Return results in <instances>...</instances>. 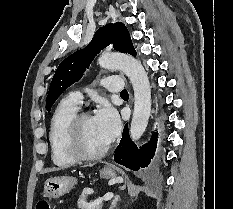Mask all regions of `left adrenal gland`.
Returning <instances> with one entry per match:
<instances>
[{
  "mask_svg": "<svg viewBox=\"0 0 233 209\" xmlns=\"http://www.w3.org/2000/svg\"><path fill=\"white\" fill-rule=\"evenodd\" d=\"M118 201H120V196L119 195L115 196V198L113 199L109 209H114L116 207Z\"/></svg>",
  "mask_w": 233,
  "mask_h": 209,
  "instance_id": "a2214340",
  "label": "left adrenal gland"
}]
</instances>
